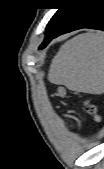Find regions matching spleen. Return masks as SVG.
Instances as JSON below:
<instances>
[{
	"label": "spleen",
	"mask_w": 104,
	"mask_h": 169,
	"mask_svg": "<svg viewBox=\"0 0 104 169\" xmlns=\"http://www.w3.org/2000/svg\"><path fill=\"white\" fill-rule=\"evenodd\" d=\"M48 80L72 91L104 92V37L101 32L77 35L64 43L50 65Z\"/></svg>",
	"instance_id": "obj_1"
}]
</instances>
